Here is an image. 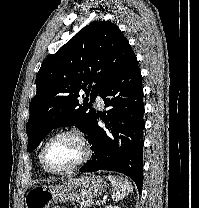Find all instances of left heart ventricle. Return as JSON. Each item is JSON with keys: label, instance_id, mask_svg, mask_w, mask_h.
I'll return each instance as SVG.
<instances>
[{"label": "left heart ventricle", "instance_id": "obj_1", "mask_svg": "<svg viewBox=\"0 0 199 208\" xmlns=\"http://www.w3.org/2000/svg\"><path fill=\"white\" fill-rule=\"evenodd\" d=\"M83 149L72 136H62L53 140L46 151L48 163L55 169H65L80 160Z\"/></svg>", "mask_w": 199, "mask_h": 208}]
</instances>
